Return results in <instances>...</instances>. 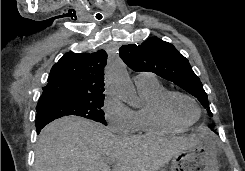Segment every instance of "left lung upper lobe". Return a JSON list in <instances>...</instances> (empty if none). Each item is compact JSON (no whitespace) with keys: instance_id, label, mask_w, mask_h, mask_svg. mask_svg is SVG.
Returning <instances> with one entry per match:
<instances>
[{"instance_id":"obj_1","label":"left lung upper lobe","mask_w":245,"mask_h":171,"mask_svg":"<svg viewBox=\"0 0 245 171\" xmlns=\"http://www.w3.org/2000/svg\"><path fill=\"white\" fill-rule=\"evenodd\" d=\"M119 55L134 71L153 72L186 90L195 96L207 109L209 116H212L207 94L199 77L193 72L188 60L170 43L159 38H149L141 45L121 46Z\"/></svg>"}]
</instances>
